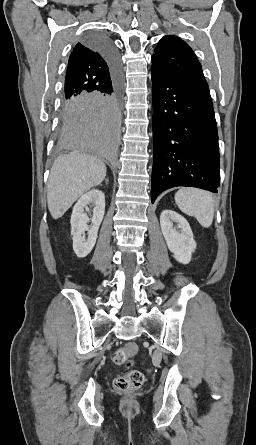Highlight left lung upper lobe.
<instances>
[{"label":"left lung upper lobe","mask_w":256,"mask_h":445,"mask_svg":"<svg viewBox=\"0 0 256 445\" xmlns=\"http://www.w3.org/2000/svg\"><path fill=\"white\" fill-rule=\"evenodd\" d=\"M152 66L177 73L194 83L208 86L193 50L176 36H165L159 41L152 57Z\"/></svg>","instance_id":"5c2ea615"}]
</instances>
